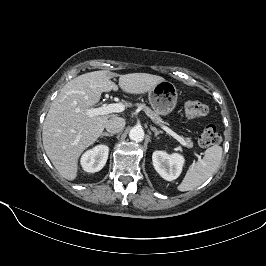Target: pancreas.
<instances>
[{
    "mask_svg": "<svg viewBox=\"0 0 266 266\" xmlns=\"http://www.w3.org/2000/svg\"><path fill=\"white\" fill-rule=\"evenodd\" d=\"M127 105H132L131 103H126ZM136 106L140 107L143 109V111L146 113V115L154 122L156 123H163L162 119L160 118V116L152 111L148 106H146L145 104H141V103H137ZM186 146L187 147H192L193 143L191 142L190 139H186Z\"/></svg>",
    "mask_w": 266,
    "mask_h": 266,
    "instance_id": "cf45deb5",
    "label": "pancreas"
}]
</instances>
